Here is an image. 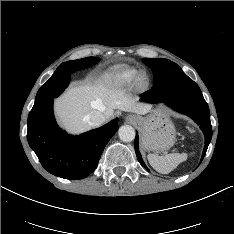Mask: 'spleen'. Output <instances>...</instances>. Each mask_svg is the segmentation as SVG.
<instances>
[{
    "instance_id": "1",
    "label": "spleen",
    "mask_w": 234,
    "mask_h": 234,
    "mask_svg": "<svg viewBox=\"0 0 234 234\" xmlns=\"http://www.w3.org/2000/svg\"><path fill=\"white\" fill-rule=\"evenodd\" d=\"M186 153H171L166 156L148 154L147 158L150 165L159 173L168 174L173 171L180 163L187 159Z\"/></svg>"
}]
</instances>
